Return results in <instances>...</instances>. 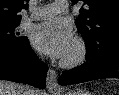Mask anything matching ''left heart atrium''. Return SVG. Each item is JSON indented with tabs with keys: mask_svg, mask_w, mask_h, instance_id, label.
<instances>
[{
	"mask_svg": "<svg viewBox=\"0 0 119 95\" xmlns=\"http://www.w3.org/2000/svg\"><path fill=\"white\" fill-rule=\"evenodd\" d=\"M31 39L37 49L53 58H64L74 42L70 26L60 20H49L37 25Z\"/></svg>",
	"mask_w": 119,
	"mask_h": 95,
	"instance_id": "obj_1",
	"label": "left heart atrium"
}]
</instances>
